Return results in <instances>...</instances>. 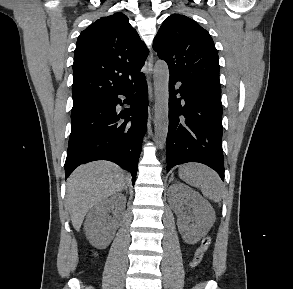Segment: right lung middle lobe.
Wrapping results in <instances>:
<instances>
[{"label": "right lung middle lobe", "mask_w": 293, "mask_h": 289, "mask_svg": "<svg viewBox=\"0 0 293 289\" xmlns=\"http://www.w3.org/2000/svg\"><path fill=\"white\" fill-rule=\"evenodd\" d=\"M96 102H88V103H80V104H74L73 108H72V112L71 114H75L78 113L88 107H90L91 105L95 104Z\"/></svg>", "instance_id": "1"}]
</instances>
